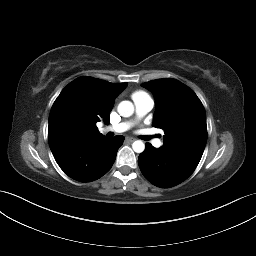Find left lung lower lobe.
I'll return each instance as SVG.
<instances>
[{"label":"left lung lower lobe","instance_id":"1","mask_svg":"<svg viewBox=\"0 0 256 256\" xmlns=\"http://www.w3.org/2000/svg\"><path fill=\"white\" fill-rule=\"evenodd\" d=\"M138 163L145 178L161 188H170L183 182L196 168L195 165L154 148L150 143H146Z\"/></svg>","mask_w":256,"mask_h":256}]
</instances>
